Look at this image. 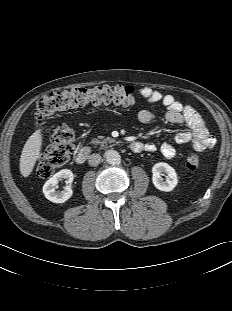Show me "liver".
Instances as JSON below:
<instances>
[{"label": "liver", "instance_id": "6515ba94", "mask_svg": "<svg viewBox=\"0 0 232 311\" xmlns=\"http://www.w3.org/2000/svg\"><path fill=\"white\" fill-rule=\"evenodd\" d=\"M42 138V133L39 129L28 138L23 147L19 168L22 176L25 178L31 174L37 159L40 157Z\"/></svg>", "mask_w": 232, "mask_h": 311}]
</instances>
